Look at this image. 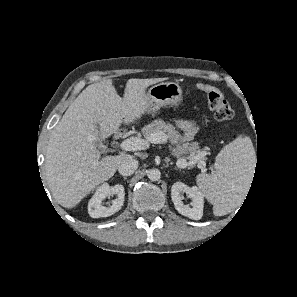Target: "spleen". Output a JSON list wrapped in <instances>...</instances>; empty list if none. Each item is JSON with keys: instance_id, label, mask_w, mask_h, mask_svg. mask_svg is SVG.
Returning <instances> with one entry per match:
<instances>
[{"instance_id": "3e777b00", "label": "spleen", "mask_w": 297, "mask_h": 297, "mask_svg": "<svg viewBox=\"0 0 297 297\" xmlns=\"http://www.w3.org/2000/svg\"><path fill=\"white\" fill-rule=\"evenodd\" d=\"M255 160L251 140L239 136L217 155L215 172L198 175L197 184L213 204L216 216L231 212L238 199L244 196L253 175Z\"/></svg>"}]
</instances>
